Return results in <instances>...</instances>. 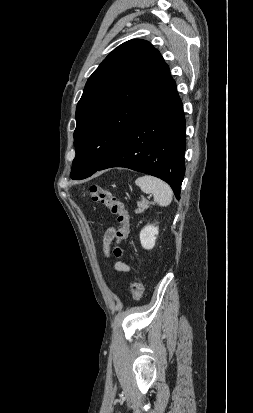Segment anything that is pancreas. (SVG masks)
Returning a JSON list of instances; mask_svg holds the SVG:
<instances>
[{
	"mask_svg": "<svg viewBox=\"0 0 253 413\" xmlns=\"http://www.w3.org/2000/svg\"><path fill=\"white\" fill-rule=\"evenodd\" d=\"M151 203L146 200V199H142L140 202L137 203L138 208L135 210V212L137 214L142 213L145 209H147L149 207Z\"/></svg>",
	"mask_w": 253,
	"mask_h": 413,
	"instance_id": "pancreas-1",
	"label": "pancreas"
}]
</instances>
